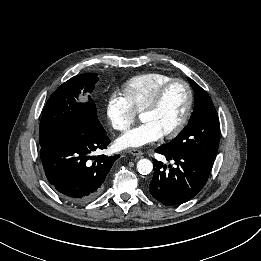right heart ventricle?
<instances>
[{
  "instance_id": "obj_1",
  "label": "right heart ventricle",
  "mask_w": 261,
  "mask_h": 261,
  "mask_svg": "<svg viewBox=\"0 0 261 261\" xmlns=\"http://www.w3.org/2000/svg\"><path fill=\"white\" fill-rule=\"evenodd\" d=\"M173 78L160 72L144 73L128 79L123 87V95L135 112L140 113L149 105L159 89Z\"/></svg>"
}]
</instances>
